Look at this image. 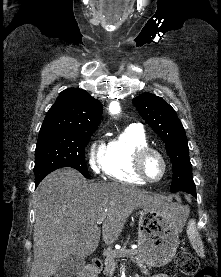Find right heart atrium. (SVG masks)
Wrapping results in <instances>:
<instances>
[{
	"mask_svg": "<svg viewBox=\"0 0 221 277\" xmlns=\"http://www.w3.org/2000/svg\"><path fill=\"white\" fill-rule=\"evenodd\" d=\"M105 145L102 142H95L89 152V164L95 173L102 168Z\"/></svg>",
	"mask_w": 221,
	"mask_h": 277,
	"instance_id": "d8ad5b80",
	"label": "right heart atrium"
}]
</instances>
